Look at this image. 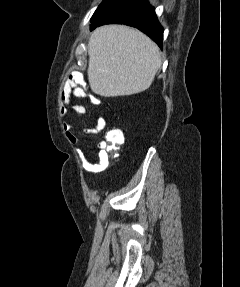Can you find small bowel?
Wrapping results in <instances>:
<instances>
[{"label": "small bowel", "mask_w": 240, "mask_h": 287, "mask_svg": "<svg viewBox=\"0 0 240 287\" xmlns=\"http://www.w3.org/2000/svg\"><path fill=\"white\" fill-rule=\"evenodd\" d=\"M87 96L86 91L79 84V78L76 76H70V78L64 83L61 96H60V112L64 116L67 111V107H71L78 114H85L86 107L82 104H76L73 102V98H85ZM106 126V121L104 118L100 117L97 119L94 125L85 128L83 131L86 134H97L102 131ZM67 138L71 143H76L78 141L77 137L72 133L68 132ZM106 142L101 141L97 145V155L99 157V164L104 165L108 161V153L106 150Z\"/></svg>", "instance_id": "1"}]
</instances>
